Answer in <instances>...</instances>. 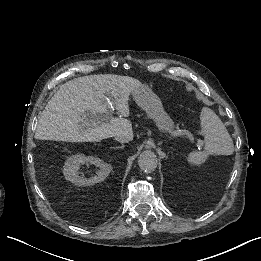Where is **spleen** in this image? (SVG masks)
Masks as SVG:
<instances>
[{"label": "spleen", "mask_w": 261, "mask_h": 261, "mask_svg": "<svg viewBox=\"0 0 261 261\" xmlns=\"http://www.w3.org/2000/svg\"><path fill=\"white\" fill-rule=\"evenodd\" d=\"M200 120L205 147L203 151L190 152L188 162L193 165H201L209 155L233 154V140L221 119L211 109L203 108Z\"/></svg>", "instance_id": "1"}]
</instances>
